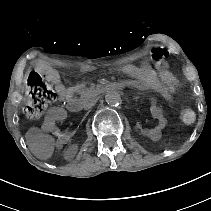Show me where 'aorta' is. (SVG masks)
I'll return each mask as SVG.
<instances>
[{"instance_id": "aorta-1", "label": "aorta", "mask_w": 211, "mask_h": 211, "mask_svg": "<svg viewBox=\"0 0 211 211\" xmlns=\"http://www.w3.org/2000/svg\"><path fill=\"white\" fill-rule=\"evenodd\" d=\"M105 100L111 106H118L122 102L121 96L116 90L108 91L105 95Z\"/></svg>"}]
</instances>
